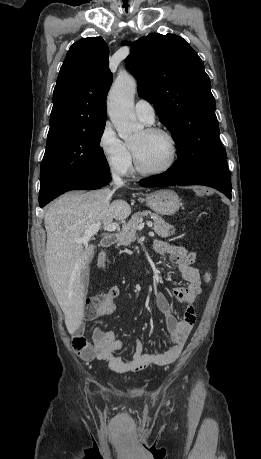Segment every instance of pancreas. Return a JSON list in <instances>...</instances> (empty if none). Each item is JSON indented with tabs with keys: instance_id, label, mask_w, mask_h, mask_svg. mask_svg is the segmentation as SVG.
Segmentation results:
<instances>
[{
	"instance_id": "pancreas-1",
	"label": "pancreas",
	"mask_w": 261,
	"mask_h": 459,
	"mask_svg": "<svg viewBox=\"0 0 261 459\" xmlns=\"http://www.w3.org/2000/svg\"><path fill=\"white\" fill-rule=\"evenodd\" d=\"M144 216H150L153 219V230L159 236L166 238L175 233L174 227L165 222L161 216L150 211H143L134 214L129 222L123 225L122 230L117 235L118 244L128 246L135 241L138 225Z\"/></svg>"
}]
</instances>
